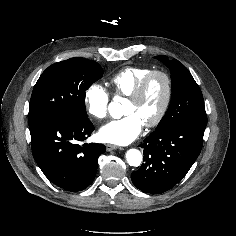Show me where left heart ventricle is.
I'll use <instances>...</instances> for the list:
<instances>
[{
	"label": "left heart ventricle",
	"mask_w": 236,
	"mask_h": 236,
	"mask_svg": "<svg viewBox=\"0 0 236 236\" xmlns=\"http://www.w3.org/2000/svg\"><path fill=\"white\" fill-rule=\"evenodd\" d=\"M165 95V84L161 77L152 78L143 96L137 100L127 101L125 114H137L143 123L152 120L159 112Z\"/></svg>",
	"instance_id": "b2bd125f"
}]
</instances>
